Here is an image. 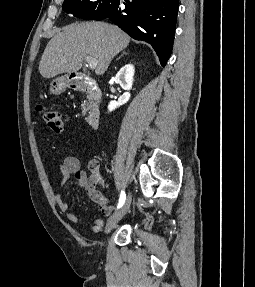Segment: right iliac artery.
Returning a JSON list of instances; mask_svg holds the SVG:
<instances>
[{
    "label": "right iliac artery",
    "mask_w": 255,
    "mask_h": 287,
    "mask_svg": "<svg viewBox=\"0 0 255 287\" xmlns=\"http://www.w3.org/2000/svg\"><path fill=\"white\" fill-rule=\"evenodd\" d=\"M125 199H126L125 192L121 191L120 198H119V203H118L117 208H120L124 204Z\"/></svg>",
    "instance_id": "right-iliac-artery-1"
}]
</instances>
